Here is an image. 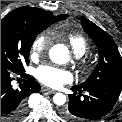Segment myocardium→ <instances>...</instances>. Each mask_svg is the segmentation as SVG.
<instances>
[{
	"instance_id": "f54148a6",
	"label": "myocardium",
	"mask_w": 122,
	"mask_h": 122,
	"mask_svg": "<svg viewBox=\"0 0 122 122\" xmlns=\"http://www.w3.org/2000/svg\"><path fill=\"white\" fill-rule=\"evenodd\" d=\"M91 68L92 65L88 60L85 59L81 62V69L84 73H88L91 70Z\"/></svg>"
}]
</instances>
